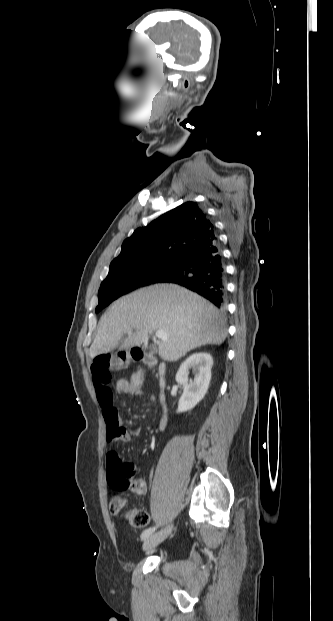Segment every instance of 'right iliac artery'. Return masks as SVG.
<instances>
[{
    "mask_svg": "<svg viewBox=\"0 0 333 621\" xmlns=\"http://www.w3.org/2000/svg\"><path fill=\"white\" fill-rule=\"evenodd\" d=\"M156 527H151L146 529L142 535H141V539H145L147 537H149L154 531H155Z\"/></svg>",
    "mask_w": 333,
    "mask_h": 621,
    "instance_id": "obj_1",
    "label": "right iliac artery"
}]
</instances>
